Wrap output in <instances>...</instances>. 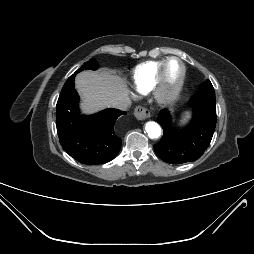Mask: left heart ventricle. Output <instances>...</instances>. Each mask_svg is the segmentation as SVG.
Listing matches in <instances>:
<instances>
[{
    "mask_svg": "<svg viewBox=\"0 0 254 254\" xmlns=\"http://www.w3.org/2000/svg\"><path fill=\"white\" fill-rule=\"evenodd\" d=\"M181 72L180 64L177 61H172L166 69V81L168 84H174Z\"/></svg>",
    "mask_w": 254,
    "mask_h": 254,
    "instance_id": "b2bd125f",
    "label": "left heart ventricle"
}]
</instances>
